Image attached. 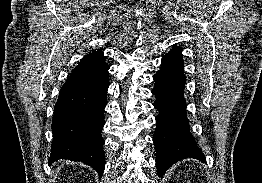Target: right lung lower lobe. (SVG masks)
Returning a JSON list of instances; mask_svg holds the SVG:
<instances>
[{
  "label": "right lung lower lobe",
  "mask_w": 262,
  "mask_h": 183,
  "mask_svg": "<svg viewBox=\"0 0 262 183\" xmlns=\"http://www.w3.org/2000/svg\"><path fill=\"white\" fill-rule=\"evenodd\" d=\"M106 62L79 63L62 86L52 119L49 163L81 161L101 176L104 171V109L109 87Z\"/></svg>",
  "instance_id": "1"
}]
</instances>
